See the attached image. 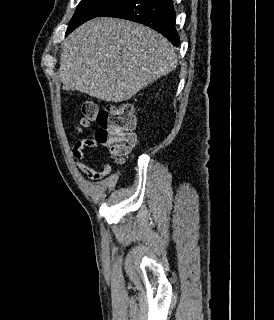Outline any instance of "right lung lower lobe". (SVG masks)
I'll return each instance as SVG.
<instances>
[{
	"instance_id": "98d812e1",
	"label": "right lung lower lobe",
	"mask_w": 274,
	"mask_h": 320,
	"mask_svg": "<svg viewBox=\"0 0 274 320\" xmlns=\"http://www.w3.org/2000/svg\"><path fill=\"white\" fill-rule=\"evenodd\" d=\"M99 16L144 24L161 33L174 46H179V35L174 26L175 10L171 0H120Z\"/></svg>"
}]
</instances>
